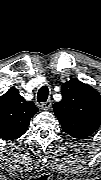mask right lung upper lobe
<instances>
[{"label":"right lung upper lobe","mask_w":101,"mask_h":180,"mask_svg":"<svg viewBox=\"0 0 101 180\" xmlns=\"http://www.w3.org/2000/svg\"><path fill=\"white\" fill-rule=\"evenodd\" d=\"M37 111L33 102H27L15 87H11L0 97V137L14 140L23 135Z\"/></svg>","instance_id":"1"}]
</instances>
